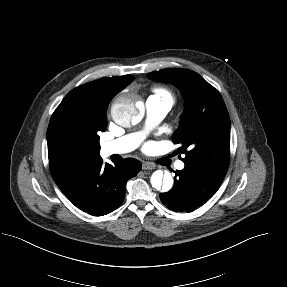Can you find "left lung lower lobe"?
I'll list each match as a JSON object with an SVG mask.
<instances>
[{
  "label": "left lung lower lobe",
  "mask_w": 287,
  "mask_h": 287,
  "mask_svg": "<svg viewBox=\"0 0 287 287\" xmlns=\"http://www.w3.org/2000/svg\"><path fill=\"white\" fill-rule=\"evenodd\" d=\"M221 183L204 170L185 164L183 170L175 171L174 186L161 193L160 199L173 211L192 212L211 198Z\"/></svg>",
  "instance_id": "obj_1"
}]
</instances>
